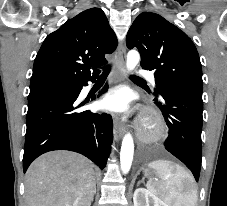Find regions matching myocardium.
<instances>
[{
  "instance_id": "obj_1",
  "label": "myocardium",
  "mask_w": 227,
  "mask_h": 206,
  "mask_svg": "<svg viewBox=\"0 0 227 206\" xmlns=\"http://www.w3.org/2000/svg\"><path fill=\"white\" fill-rule=\"evenodd\" d=\"M166 135V125L161 113L149 108L144 113L138 128V136L145 143H156Z\"/></svg>"
}]
</instances>
